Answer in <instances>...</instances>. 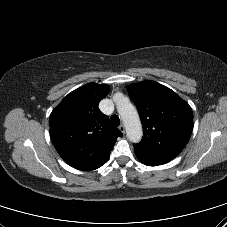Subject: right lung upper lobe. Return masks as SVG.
<instances>
[{"instance_id":"cb5924a9","label":"right lung upper lobe","mask_w":227,"mask_h":227,"mask_svg":"<svg viewBox=\"0 0 227 227\" xmlns=\"http://www.w3.org/2000/svg\"><path fill=\"white\" fill-rule=\"evenodd\" d=\"M108 85L88 83L69 93L52 111L50 136L57 152L71 167L94 170L109 158L119 129L98 108Z\"/></svg>"}]
</instances>
